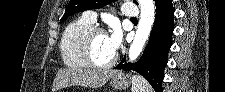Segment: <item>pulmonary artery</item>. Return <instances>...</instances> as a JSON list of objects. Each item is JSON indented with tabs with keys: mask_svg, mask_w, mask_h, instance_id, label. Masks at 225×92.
I'll return each instance as SVG.
<instances>
[{
	"mask_svg": "<svg viewBox=\"0 0 225 92\" xmlns=\"http://www.w3.org/2000/svg\"><path fill=\"white\" fill-rule=\"evenodd\" d=\"M126 5L132 6V3H126ZM121 12L123 15H125L130 19L136 18L138 14L135 10L132 9L131 10L121 9ZM83 17L91 23H95L97 21V15L93 11H85L83 13Z\"/></svg>",
	"mask_w": 225,
	"mask_h": 92,
	"instance_id": "1",
	"label": "pulmonary artery"
}]
</instances>
